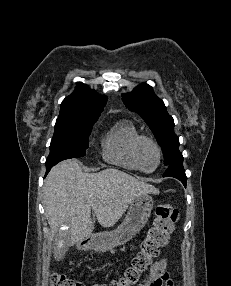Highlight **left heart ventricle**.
I'll list each match as a JSON object with an SVG mask.
<instances>
[{"mask_svg": "<svg viewBox=\"0 0 231 286\" xmlns=\"http://www.w3.org/2000/svg\"><path fill=\"white\" fill-rule=\"evenodd\" d=\"M139 158L142 167L145 170H153L158 163V155L156 149L148 142H144L140 146Z\"/></svg>", "mask_w": 231, "mask_h": 286, "instance_id": "1", "label": "left heart ventricle"}]
</instances>
